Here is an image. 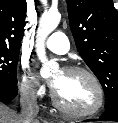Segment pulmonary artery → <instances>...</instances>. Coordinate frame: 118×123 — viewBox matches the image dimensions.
Returning <instances> with one entry per match:
<instances>
[{
	"instance_id": "e3ab8cb5",
	"label": "pulmonary artery",
	"mask_w": 118,
	"mask_h": 123,
	"mask_svg": "<svg viewBox=\"0 0 118 123\" xmlns=\"http://www.w3.org/2000/svg\"><path fill=\"white\" fill-rule=\"evenodd\" d=\"M45 46L56 54H65L70 48L69 40L63 32L53 33L46 41Z\"/></svg>"
}]
</instances>
